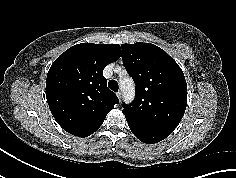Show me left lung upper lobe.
Listing matches in <instances>:
<instances>
[{
  "mask_svg": "<svg viewBox=\"0 0 236 178\" xmlns=\"http://www.w3.org/2000/svg\"><path fill=\"white\" fill-rule=\"evenodd\" d=\"M122 60L136 84L135 99L123 105L129 126L169 135L187 105V84L179 65L151 43L122 44Z\"/></svg>",
  "mask_w": 236,
  "mask_h": 178,
  "instance_id": "left-lung-upper-lobe-1",
  "label": "left lung upper lobe"
}]
</instances>
